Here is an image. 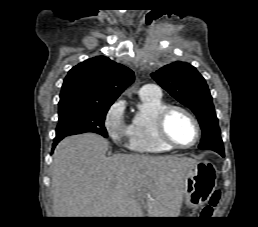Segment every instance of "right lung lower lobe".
Returning a JSON list of instances; mask_svg holds the SVG:
<instances>
[{"label":"right lung lower lobe","instance_id":"98d812e1","mask_svg":"<svg viewBox=\"0 0 258 227\" xmlns=\"http://www.w3.org/2000/svg\"><path fill=\"white\" fill-rule=\"evenodd\" d=\"M63 138L62 137H55L54 139V143H53V148H52V151L54 150V147L57 145V143L62 140Z\"/></svg>","mask_w":258,"mask_h":227}]
</instances>
